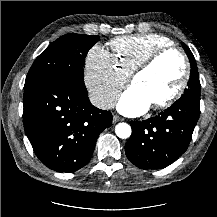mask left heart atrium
<instances>
[{"instance_id": "left-heart-atrium-1", "label": "left heart atrium", "mask_w": 217, "mask_h": 217, "mask_svg": "<svg viewBox=\"0 0 217 217\" xmlns=\"http://www.w3.org/2000/svg\"><path fill=\"white\" fill-rule=\"evenodd\" d=\"M150 105V101L133 85L121 95L117 103L120 112L132 116L144 113Z\"/></svg>"}]
</instances>
